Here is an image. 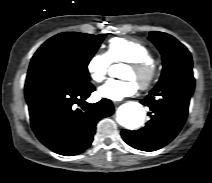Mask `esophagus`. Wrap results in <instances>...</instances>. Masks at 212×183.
<instances>
[{
	"label": "esophagus",
	"mask_w": 212,
	"mask_h": 183,
	"mask_svg": "<svg viewBox=\"0 0 212 183\" xmlns=\"http://www.w3.org/2000/svg\"><path fill=\"white\" fill-rule=\"evenodd\" d=\"M113 104H114L115 107H117L120 104V102L114 101Z\"/></svg>",
	"instance_id": "34e87169"
}]
</instances>
